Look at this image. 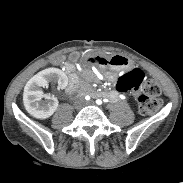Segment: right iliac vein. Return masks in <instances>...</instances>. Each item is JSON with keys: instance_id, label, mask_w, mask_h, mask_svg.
Masks as SVG:
<instances>
[{"instance_id": "obj_1", "label": "right iliac vein", "mask_w": 183, "mask_h": 183, "mask_svg": "<svg viewBox=\"0 0 183 183\" xmlns=\"http://www.w3.org/2000/svg\"><path fill=\"white\" fill-rule=\"evenodd\" d=\"M75 105H76L77 108H80L81 107V101L80 100L76 101Z\"/></svg>"}]
</instances>
